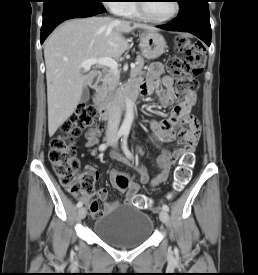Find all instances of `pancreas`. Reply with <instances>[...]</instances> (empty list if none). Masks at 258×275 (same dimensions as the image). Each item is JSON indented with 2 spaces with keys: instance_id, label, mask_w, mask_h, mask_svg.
I'll return each instance as SVG.
<instances>
[{
  "instance_id": "pancreas-1",
  "label": "pancreas",
  "mask_w": 258,
  "mask_h": 275,
  "mask_svg": "<svg viewBox=\"0 0 258 275\" xmlns=\"http://www.w3.org/2000/svg\"><path fill=\"white\" fill-rule=\"evenodd\" d=\"M144 67V59L141 56H137L136 64L134 68H131V77H136L142 72ZM119 84V76L108 72L102 79V84L96 88L95 102H109L114 98L117 92V86Z\"/></svg>"
}]
</instances>
